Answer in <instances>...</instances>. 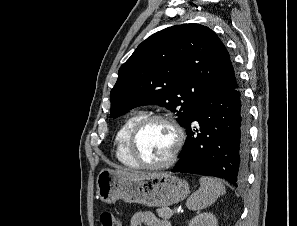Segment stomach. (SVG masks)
<instances>
[{
  "label": "stomach",
  "mask_w": 297,
  "mask_h": 226,
  "mask_svg": "<svg viewBox=\"0 0 297 226\" xmlns=\"http://www.w3.org/2000/svg\"><path fill=\"white\" fill-rule=\"evenodd\" d=\"M96 184L97 194L104 203L123 199L146 206L166 207L185 199L190 193L186 180L169 173L128 179L114 170L103 169L97 176Z\"/></svg>",
  "instance_id": "1"
}]
</instances>
